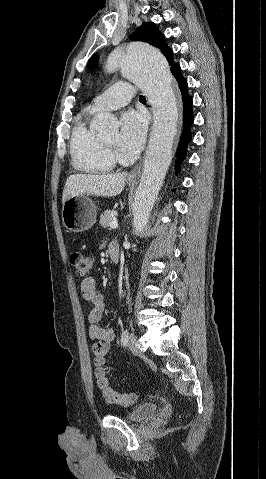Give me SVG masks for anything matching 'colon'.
I'll return each mask as SVG.
<instances>
[{
	"mask_svg": "<svg viewBox=\"0 0 266 479\" xmlns=\"http://www.w3.org/2000/svg\"><path fill=\"white\" fill-rule=\"evenodd\" d=\"M70 262L79 277L87 278L89 276L93 266V259L89 255L81 251H74L70 256ZM108 349L109 343L104 340H100L93 345L96 385L108 403L122 406L132 405L138 399L136 393L120 394L109 384V380L106 376V356Z\"/></svg>",
	"mask_w": 266,
	"mask_h": 479,
	"instance_id": "colon-1",
	"label": "colon"
}]
</instances>
